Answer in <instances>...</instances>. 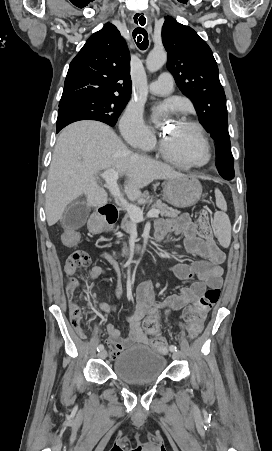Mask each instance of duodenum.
Instances as JSON below:
<instances>
[{
  "label": "duodenum",
  "mask_w": 272,
  "mask_h": 451,
  "mask_svg": "<svg viewBox=\"0 0 272 451\" xmlns=\"http://www.w3.org/2000/svg\"><path fill=\"white\" fill-rule=\"evenodd\" d=\"M118 219V209L112 204H106L99 209L98 215L90 221L89 228L93 234H101L106 231L108 226L115 223ZM145 250L142 245H136L133 248V252L140 253ZM130 250L124 251V254H128Z\"/></svg>",
  "instance_id": "obj_1"
}]
</instances>
